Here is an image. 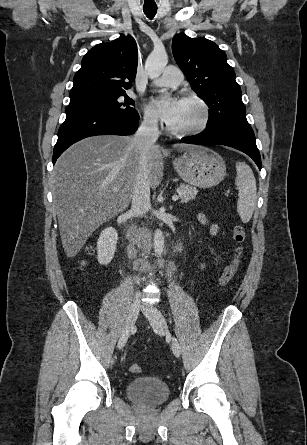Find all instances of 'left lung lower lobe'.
Returning <instances> with one entry per match:
<instances>
[{"label":"left lung lower lobe","mask_w":307,"mask_h":445,"mask_svg":"<svg viewBox=\"0 0 307 445\" xmlns=\"http://www.w3.org/2000/svg\"><path fill=\"white\" fill-rule=\"evenodd\" d=\"M188 144H221L236 148L249 155L261 169L260 153L256 146L255 136L250 126L240 124H223L205 129L201 133L182 138Z\"/></svg>","instance_id":"left-lung-lower-lobe-1"}]
</instances>
